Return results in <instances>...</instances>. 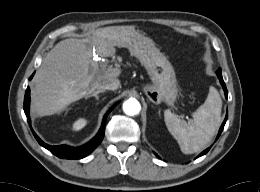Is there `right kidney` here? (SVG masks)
<instances>
[{
	"instance_id": "obj_1",
	"label": "right kidney",
	"mask_w": 260,
	"mask_h": 192,
	"mask_svg": "<svg viewBox=\"0 0 260 192\" xmlns=\"http://www.w3.org/2000/svg\"><path fill=\"white\" fill-rule=\"evenodd\" d=\"M86 120L85 119H79L73 124V129L74 130H80L86 125Z\"/></svg>"
}]
</instances>
